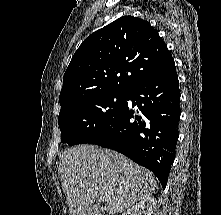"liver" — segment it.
Listing matches in <instances>:
<instances>
[{"label": "liver", "instance_id": "6515ba94", "mask_svg": "<svg viewBox=\"0 0 221 215\" xmlns=\"http://www.w3.org/2000/svg\"><path fill=\"white\" fill-rule=\"evenodd\" d=\"M59 173L70 215H85L99 196L104 197L107 214L115 215L151 196L158 188L149 170L118 152L91 145L64 151Z\"/></svg>", "mask_w": 221, "mask_h": 215}]
</instances>
